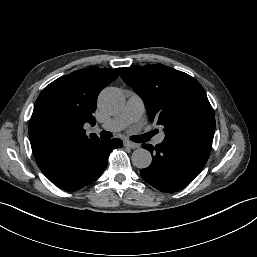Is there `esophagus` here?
Here are the masks:
<instances>
[{
	"instance_id": "obj_1",
	"label": "esophagus",
	"mask_w": 257,
	"mask_h": 257,
	"mask_svg": "<svg viewBox=\"0 0 257 257\" xmlns=\"http://www.w3.org/2000/svg\"><path fill=\"white\" fill-rule=\"evenodd\" d=\"M124 145L128 148H131V149H136V148H139L140 145L139 144H136V143H133V142H130V141H125L124 142Z\"/></svg>"
}]
</instances>
